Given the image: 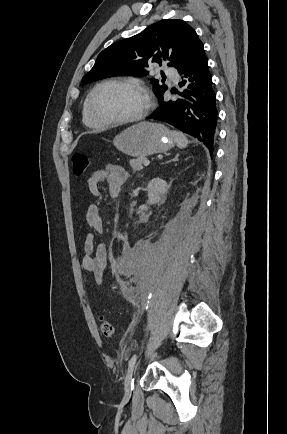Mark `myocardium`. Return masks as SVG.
I'll return each instance as SVG.
<instances>
[{"label": "myocardium", "mask_w": 287, "mask_h": 434, "mask_svg": "<svg viewBox=\"0 0 287 434\" xmlns=\"http://www.w3.org/2000/svg\"><path fill=\"white\" fill-rule=\"evenodd\" d=\"M109 84H119V85H124V86H129L132 88H135L137 90H139L145 97L146 99V105L143 108L142 111H140L137 115L128 117V118H124V119H104L99 117L94 109H93V98L96 94V92ZM153 106V101H152V97L150 94L149 89L145 86V84H143L142 82L138 81V80H134V79H123V78H110V79H106L100 83H98L89 93L87 99H86V109L87 112L89 114V116L96 122L98 123L100 126H108V125H126V124H132V123H136L139 122L141 120H143L151 111Z\"/></svg>", "instance_id": "myocardium-1"}]
</instances>
